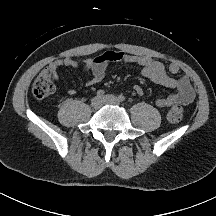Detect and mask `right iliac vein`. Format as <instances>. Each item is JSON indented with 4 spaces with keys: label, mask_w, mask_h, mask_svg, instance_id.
Here are the masks:
<instances>
[{
    "label": "right iliac vein",
    "mask_w": 216,
    "mask_h": 216,
    "mask_svg": "<svg viewBox=\"0 0 216 216\" xmlns=\"http://www.w3.org/2000/svg\"><path fill=\"white\" fill-rule=\"evenodd\" d=\"M102 99L100 97H94L91 101V106L94 109H99L102 106Z\"/></svg>",
    "instance_id": "right-iliac-vein-1"
}]
</instances>
